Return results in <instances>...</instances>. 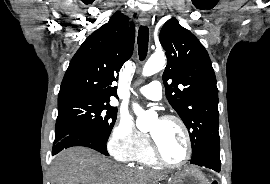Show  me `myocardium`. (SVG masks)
<instances>
[{
  "label": "myocardium",
  "mask_w": 270,
  "mask_h": 184,
  "mask_svg": "<svg viewBox=\"0 0 270 184\" xmlns=\"http://www.w3.org/2000/svg\"><path fill=\"white\" fill-rule=\"evenodd\" d=\"M161 120L168 121V122H174L180 126V128L183 131L184 137H185L186 154H185V157L183 158V160L180 161L179 163H170V162L166 161L163 158V156L161 155V152H160V149H159V146H158L156 140L151 135L150 142H151V150H152L153 156H154L155 160L157 161V163H159L160 165H162L164 167L171 168V169L181 168L189 162V160L191 159V156H192V140H191V135H190L189 129H188L187 125L185 124V122L181 118H179L178 116H175V115H165L161 118Z\"/></svg>",
  "instance_id": "f54148a6"
}]
</instances>
